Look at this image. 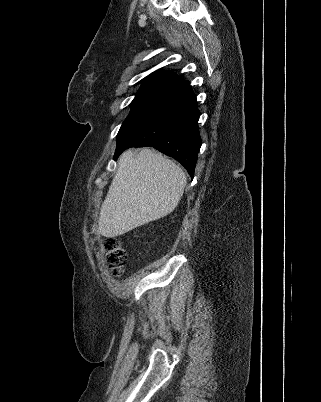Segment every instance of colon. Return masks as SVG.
I'll list each match as a JSON object with an SVG mask.
<instances>
[{
  "label": "colon",
  "mask_w": 321,
  "mask_h": 402,
  "mask_svg": "<svg viewBox=\"0 0 321 402\" xmlns=\"http://www.w3.org/2000/svg\"><path fill=\"white\" fill-rule=\"evenodd\" d=\"M106 263L114 276H120L124 270L127 255L116 238H107L104 243Z\"/></svg>",
  "instance_id": "5ec220e1"
}]
</instances>
